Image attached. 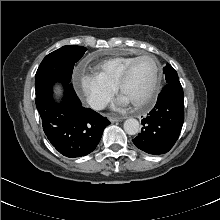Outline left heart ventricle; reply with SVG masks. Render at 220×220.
<instances>
[{"instance_id": "obj_1", "label": "left heart ventricle", "mask_w": 220, "mask_h": 220, "mask_svg": "<svg viewBox=\"0 0 220 220\" xmlns=\"http://www.w3.org/2000/svg\"><path fill=\"white\" fill-rule=\"evenodd\" d=\"M155 76V63L152 58L138 61L123 89L122 96L129 102L142 100L148 93Z\"/></svg>"}]
</instances>
